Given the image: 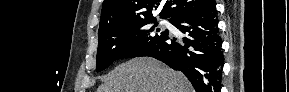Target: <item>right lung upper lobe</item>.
Returning <instances> with one entry per match:
<instances>
[{
  "label": "right lung upper lobe",
  "mask_w": 289,
  "mask_h": 92,
  "mask_svg": "<svg viewBox=\"0 0 289 92\" xmlns=\"http://www.w3.org/2000/svg\"><path fill=\"white\" fill-rule=\"evenodd\" d=\"M161 0H105L102 5L99 31L123 21L154 18L152 8H157ZM211 0H172L167 1L161 18H173L198 10L209 4ZM98 31V32H99Z\"/></svg>",
  "instance_id": "right-lung-upper-lobe-1"
}]
</instances>
